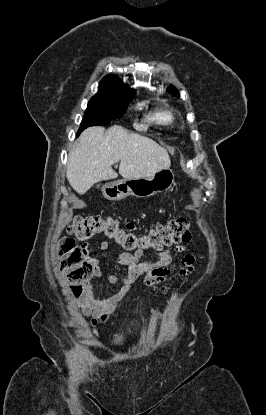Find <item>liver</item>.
Returning <instances> with one entry per match:
<instances>
[{"label": "liver", "instance_id": "1", "mask_svg": "<svg viewBox=\"0 0 266 415\" xmlns=\"http://www.w3.org/2000/svg\"><path fill=\"white\" fill-rule=\"evenodd\" d=\"M119 161V174L128 179L152 177L171 165L167 151L148 137L119 125L106 131L89 127L69 153L67 180L78 194H85L95 183L115 179L112 165Z\"/></svg>", "mask_w": 266, "mask_h": 415}]
</instances>
